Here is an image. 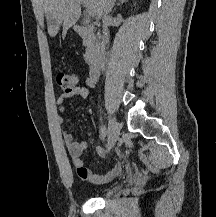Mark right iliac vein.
Instances as JSON below:
<instances>
[{
    "instance_id": "obj_1",
    "label": "right iliac vein",
    "mask_w": 216,
    "mask_h": 217,
    "mask_svg": "<svg viewBox=\"0 0 216 217\" xmlns=\"http://www.w3.org/2000/svg\"><path fill=\"white\" fill-rule=\"evenodd\" d=\"M121 130V125L117 122L115 118L109 119V135H108V151H110L115 145L119 138Z\"/></svg>"
}]
</instances>
